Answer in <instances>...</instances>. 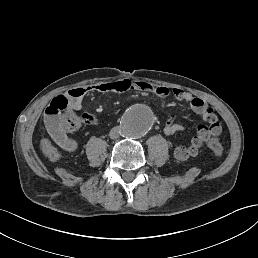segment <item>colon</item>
Listing matches in <instances>:
<instances>
[{
    "mask_svg": "<svg viewBox=\"0 0 258 258\" xmlns=\"http://www.w3.org/2000/svg\"><path fill=\"white\" fill-rule=\"evenodd\" d=\"M66 127L68 130H75L79 128L81 124V119L70 115L66 117L65 120ZM208 148L215 154L216 156H221L224 152V146L219 140L218 137L213 136L207 141ZM41 149L43 154L51 161H55L59 157V151L58 149L53 146L49 141H43L41 144Z\"/></svg>",
    "mask_w": 258,
    "mask_h": 258,
    "instance_id": "5ec220e1",
    "label": "colon"
}]
</instances>
